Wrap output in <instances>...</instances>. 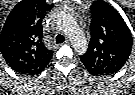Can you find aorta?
<instances>
[{"label": "aorta", "mask_w": 135, "mask_h": 95, "mask_svg": "<svg viewBox=\"0 0 135 95\" xmlns=\"http://www.w3.org/2000/svg\"><path fill=\"white\" fill-rule=\"evenodd\" d=\"M69 36L72 39L74 48L78 52L83 53L86 50L87 41L82 32L78 28H75L74 30L69 32Z\"/></svg>", "instance_id": "1"}]
</instances>
